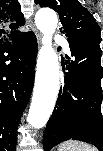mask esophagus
<instances>
[{
    "label": "esophagus",
    "mask_w": 103,
    "mask_h": 151,
    "mask_svg": "<svg viewBox=\"0 0 103 151\" xmlns=\"http://www.w3.org/2000/svg\"><path fill=\"white\" fill-rule=\"evenodd\" d=\"M32 29L35 31L38 40H40L41 35L37 32V30L34 27H32Z\"/></svg>",
    "instance_id": "34e87169"
}]
</instances>
